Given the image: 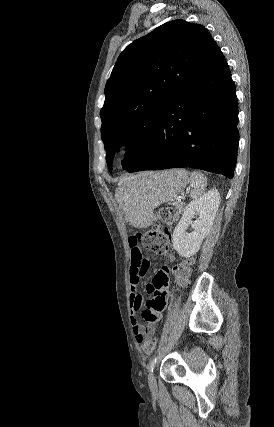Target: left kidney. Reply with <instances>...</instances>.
I'll use <instances>...</instances> for the list:
<instances>
[{
  "mask_svg": "<svg viewBox=\"0 0 274 427\" xmlns=\"http://www.w3.org/2000/svg\"><path fill=\"white\" fill-rule=\"evenodd\" d=\"M219 204L220 194L218 190H209L207 194L186 206L172 235L173 247L179 255L191 257L200 249L204 237L213 225ZM193 217H196L195 221H192ZM188 225H192L191 233L186 231Z\"/></svg>",
  "mask_w": 274,
  "mask_h": 427,
  "instance_id": "obj_1",
  "label": "left kidney"
}]
</instances>
